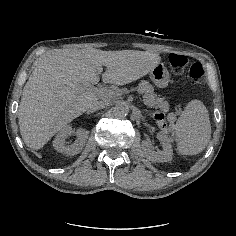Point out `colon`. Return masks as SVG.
Wrapping results in <instances>:
<instances>
[{
	"mask_svg": "<svg viewBox=\"0 0 236 236\" xmlns=\"http://www.w3.org/2000/svg\"><path fill=\"white\" fill-rule=\"evenodd\" d=\"M168 63L171 69L175 72L181 73L184 66L188 63V57L180 53H170L168 55ZM204 76V68L200 62H193L188 70V77L194 83H200ZM164 115L162 110H157L155 116L158 120H161Z\"/></svg>",
	"mask_w": 236,
	"mask_h": 236,
	"instance_id": "obj_1",
	"label": "colon"
}]
</instances>
